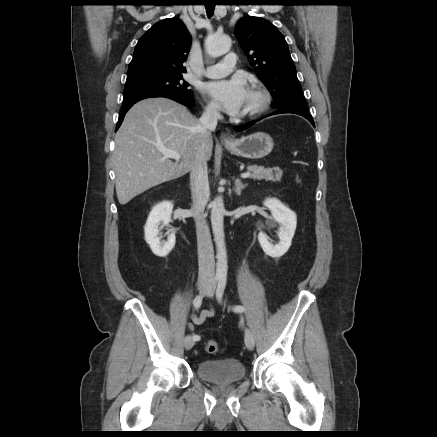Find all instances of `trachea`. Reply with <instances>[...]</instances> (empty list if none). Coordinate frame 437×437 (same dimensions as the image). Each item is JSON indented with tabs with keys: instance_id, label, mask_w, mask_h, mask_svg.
<instances>
[{
	"instance_id": "3493384b",
	"label": "trachea",
	"mask_w": 437,
	"mask_h": 437,
	"mask_svg": "<svg viewBox=\"0 0 437 437\" xmlns=\"http://www.w3.org/2000/svg\"><path fill=\"white\" fill-rule=\"evenodd\" d=\"M205 8H206V12H207L208 17H211L214 13L215 5H212V4L205 5Z\"/></svg>"
}]
</instances>
